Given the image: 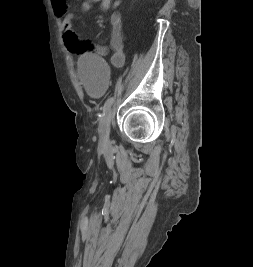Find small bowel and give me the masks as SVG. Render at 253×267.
<instances>
[{
  "label": "small bowel",
  "mask_w": 253,
  "mask_h": 267,
  "mask_svg": "<svg viewBox=\"0 0 253 267\" xmlns=\"http://www.w3.org/2000/svg\"><path fill=\"white\" fill-rule=\"evenodd\" d=\"M51 2L56 14L62 18V41L70 52L76 54L85 52H94L100 55L110 54V60L114 66H123L125 55L123 52V25L120 12L115 11L110 15L109 23L111 28L109 44L95 45L80 41L77 34L73 31L72 21L74 14L69 8V0H51ZM96 3H99L98 10L105 12L112 7H118L120 0H82L80 9L84 13L91 12Z\"/></svg>",
  "instance_id": "1"
}]
</instances>
